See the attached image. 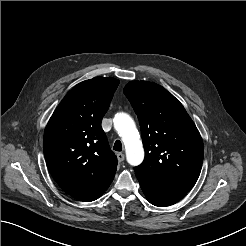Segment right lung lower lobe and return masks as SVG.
<instances>
[{
  "label": "right lung lower lobe",
  "mask_w": 246,
  "mask_h": 246,
  "mask_svg": "<svg viewBox=\"0 0 246 246\" xmlns=\"http://www.w3.org/2000/svg\"><path fill=\"white\" fill-rule=\"evenodd\" d=\"M102 194H98V195H77V196H72L78 200L81 201H86V202H90L93 201L95 199H97L98 197H100Z\"/></svg>",
  "instance_id": "1"
}]
</instances>
